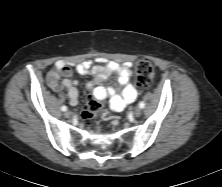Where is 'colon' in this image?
Returning <instances> with one entry per match:
<instances>
[{
  "label": "colon",
  "instance_id": "colon-1",
  "mask_svg": "<svg viewBox=\"0 0 222 187\" xmlns=\"http://www.w3.org/2000/svg\"><path fill=\"white\" fill-rule=\"evenodd\" d=\"M154 66L148 59H141L136 63L137 85L140 88H147L151 85L154 77ZM52 74L59 77L60 72L53 70ZM101 108V100L92 96L82 111L83 119H90L97 116Z\"/></svg>",
  "mask_w": 222,
  "mask_h": 187
}]
</instances>
